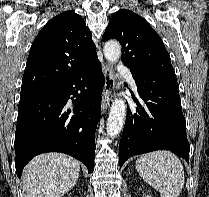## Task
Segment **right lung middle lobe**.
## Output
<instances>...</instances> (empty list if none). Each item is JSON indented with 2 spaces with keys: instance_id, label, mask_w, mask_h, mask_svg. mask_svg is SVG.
Wrapping results in <instances>:
<instances>
[{
  "instance_id": "dd1d6c3e",
  "label": "right lung middle lobe",
  "mask_w": 209,
  "mask_h": 197,
  "mask_svg": "<svg viewBox=\"0 0 209 197\" xmlns=\"http://www.w3.org/2000/svg\"><path fill=\"white\" fill-rule=\"evenodd\" d=\"M35 91H38V90H35ZM35 91H21L20 96H24V95L30 94L32 92H35Z\"/></svg>"
}]
</instances>
